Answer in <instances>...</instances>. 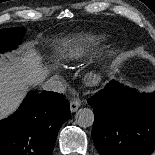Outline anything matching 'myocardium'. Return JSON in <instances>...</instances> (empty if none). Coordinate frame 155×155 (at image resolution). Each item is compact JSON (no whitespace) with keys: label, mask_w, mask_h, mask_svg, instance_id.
<instances>
[{"label":"myocardium","mask_w":155,"mask_h":155,"mask_svg":"<svg viewBox=\"0 0 155 155\" xmlns=\"http://www.w3.org/2000/svg\"><path fill=\"white\" fill-rule=\"evenodd\" d=\"M101 80V72L94 71L87 76V82L89 84H97Z\"/></svg>","instance_id":"f54148a6"}]
</instances>
